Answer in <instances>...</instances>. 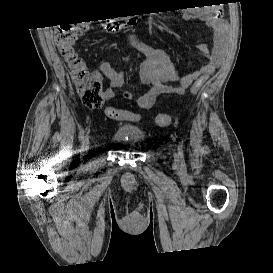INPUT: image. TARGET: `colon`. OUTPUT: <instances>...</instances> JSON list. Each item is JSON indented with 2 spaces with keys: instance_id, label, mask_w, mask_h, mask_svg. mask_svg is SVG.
I'll return each instance as SVG.
<instances>
[{
  "instance_id": "1",
  "label": "colon",
  "mask_w": 273,
  "mask_h": 273,
  "mask_svg": "<svg viewBox=\"0 0 273 273\" xmlns=\"http://www.w3.org/2000/svg\"><path fill=\"white\" fill-rule=\"evenodd\" d=\"M89 23V20H82L59 27L55 31V41L59 53L69 67L71 78L82 103L89 108H98L104 99L102 84L88 71L84 59L78 55L75 46L76 40L87 29ZM205 81L206 76H201L192 86L191 94H196ZM105 113L108 118L114 120H123L127 114L126 110L114 107H107ZM128 119L138 120L139 116L130 113ZM170 122L171 117L167 113H160L156 117V123L159 126H168Z\"/></svg>"
}]
</instances>
